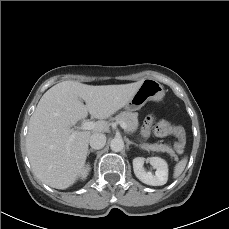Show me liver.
<instances>
[{
  "label": "liver",
  "instance_id": "6515ba94",
  "mask_svg": "<svg viewBox=\"0 0 229 229\" xmlns=\"http://www.w3.org/2000/svg\"><path fill=\"white\" fill-rule=\"evenodd\" d=\"M143 81L101 86L63 81L45 92L30 118L26 137L27 154L36 177L56 189L72 186L84 169L91 135L107 130L104 119L126 106ZM88 113L100 120L95 129H71Z\"/></svg>",
  "mask_w": 229,
  "mask_h": 229
}]
</instances>
